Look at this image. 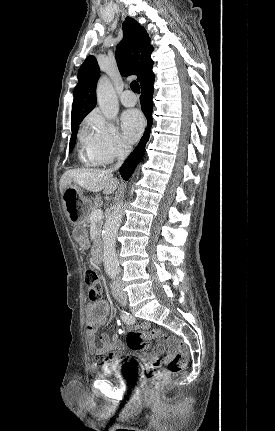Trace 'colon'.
I'll return each instance as SVG.
<instances>
[{"label": "colon", "instance_id": "5ec220e1", "mask_svg": "<svg viewBox=\"0 0 275 431\" xmlns=\"http://www.w3.org/2000/svg\"><path fill=\"white\" fill-rule=\"evenodd\" d=\"M84 277L89 298L92 301L99 299L104 289V283L100 274L94 269H86ZM147 339L168 341L178 349V352L169 359L167 370L159 369L157 362H150L147 365L145 375L150 379V382L146 390L149 394H153L161 390L168 383L170 374L178 373L186 366L189 350L187 344L182 340L169 337L160 330H153L147 333L130 331L126 336V343L130 350L141 351L148 347Z\"/></svg>", "mask_w": 275, "mask_h": 431}]
</instances>
